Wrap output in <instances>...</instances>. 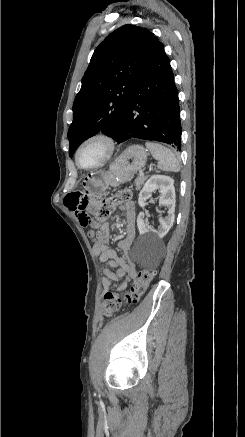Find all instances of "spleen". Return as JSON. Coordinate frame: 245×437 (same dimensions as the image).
<instances>
[{
    "mask_svg": "<svg viewBox=\"0 0 245 437\" xmlns=\"http://www.w3.org/2000/svg\"><path fill=\"white\" fill-rule=\"evenodd\" d=\"M153 158L158 161V169L163 171L178 172L180 170V159L176 153L162 144L156 142H145Z\"/></svg>",
    "mask_w": 245,
    "mask_h": 437,
    "instance_id": "obj_1",
    "label": "spleen"
}]
</instances>
